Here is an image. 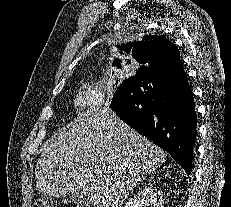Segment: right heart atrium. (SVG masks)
Instances as JSON below:
<instances>
[{
    "label": "right heart atrium",
    "instance_id": "obj_1",
    "mask_svg": "<svg viewBox=\"0 0 231 207\" xmlns=\"http://www.w3.org/2000/svg\"><path fill=\"white\" fill-rule=\"evenodd\" d=\"M75 111L85 118H91L100 113L106 106L104 97L94 89H83L73 98Z\"/></svg>",
    "mask_w": 231,
    "mask_h": 207
}]
</instances>
